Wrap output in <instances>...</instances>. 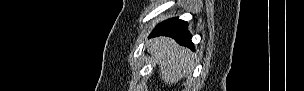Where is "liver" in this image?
I'll use <instances>...</instances> for the list:
<instances>
[{"label": "liver", "instance_id": "liver-1", "mask_svg": "<svg viewBox=\"0 0 304 91\" xmlns=\"http://www.w3.org/2000/svg\"><path fill=\"white\" fill-rule=\"evenodd\" d=\"M148 51L159 65L160 76L165 84L177 83L191 70L194 54L171 38L158 37L150 40Z\"/></svg>", "mask_w": 304, "mask_h": 91}]
</instances>
